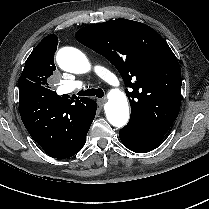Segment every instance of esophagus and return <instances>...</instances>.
<instances>
[{"label":"esophagus","mask_w":209,"mask_h":209,"mask_svg":"<svg viewBox=\"0 0 209 209\" xmlns=\"http://www.w3.org/2000/svg\"><path fill=\"white\" fill-rule=\"evenodd\" d=\"M98 105L102 107L104 105L105 99H98Z\"/></svg>","instance_id":"esophagus-1"}]
</instances>
